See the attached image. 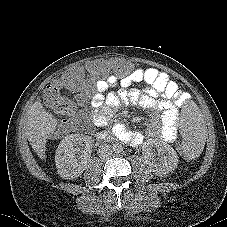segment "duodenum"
Returning <instances> with one entry per match:
<instances>
[{
  "mask_svg": "<svg viewBox=\"0 0 227 227\" xmlns=\"http://www.w3.org/2000/svg\"><path fill=\"white\" fill-rule=\"evenodd\" d=\"M98 138H99L100 140H106V139L109 138V136H108L107 134H99V135H98Z\"/></svg>",
  "mask_w": 227,
  "mask_h": 227,
  "instance_id": "obj_1",
  "label": "duodenum"
}]
</instances>
